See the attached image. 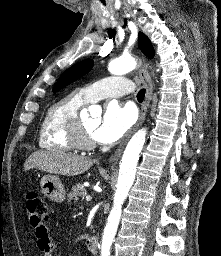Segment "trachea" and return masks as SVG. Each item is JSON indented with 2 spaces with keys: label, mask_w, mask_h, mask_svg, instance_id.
<instances>
[{
  "label": "trachea",
  "mask_w": 221,
  "mask_h": 256,
  "mask_svg": "<svg viewBox=\"0 0 221 256\" xmlns=\"http://www.w3.org/2000/svg\"><path fill=\"white\" fill-rule=\"evenodd\" d=\"M144 97H145V89H140L138 94H137V100L139 102H143Z\"/></svg>",
  "instance_id": "3493384b"
}]
</instances>
